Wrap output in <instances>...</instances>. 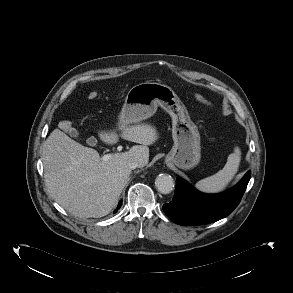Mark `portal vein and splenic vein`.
<instances>
[{
  "instance_id": "1",
  "label": "portal vein and splenic vein",
  "mask_w": 293,
  "mask_h": 293,
  "mask_svg": "<svg viewBox=\"0 0 293 293\" xmlns=\"http://www.w3.org/2000/svg\"><path fill=\"white\" fill-rule=\"evenodd\" d=\"M122 148H123L122 146H118V147H117V150H118V151H121ZM113 155H114V154H106V155L102 156V160L107 161V160H109Z\"/></svg>"
}]
</instances>
